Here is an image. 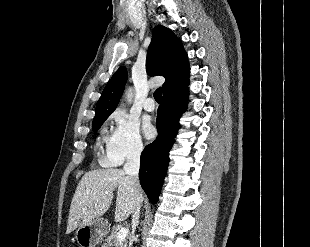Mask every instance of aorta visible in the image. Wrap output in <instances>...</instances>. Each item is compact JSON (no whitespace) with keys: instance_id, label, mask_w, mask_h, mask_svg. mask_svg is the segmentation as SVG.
<instances>
[{"instance_id":"1","label":"aorta","mask_w":310,"mask_h":247,"mask_svg":"<svg viewBox=\"0 0 310 247\" xmlns=\"http://www.w3.org/2000/svg\"><path fill=\"white\" fill-rule=\"evenodd\" d=\"M126 98H127L128 103H131L132 98H133V90H132V88H129V90L127 91Z\"/></svg>"}]
</instances>
